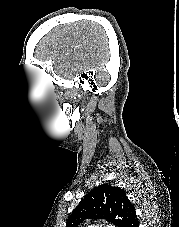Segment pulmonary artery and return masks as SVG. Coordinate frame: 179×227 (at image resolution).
<instances>
[{"label": "pulmonary artery", "instance_id": "1", "mask_svg": "<svg viewBox=\"0 0 179 227\" xmlns=\"http://www.w3.org/2000/svg\"><path fill=\"white\" fill-rule=\"evenodd\" d=\"M90 227H113L111 225H92Z\"/></svg>", "mask_w": 179, "mask_h": 227}]
</instances>
